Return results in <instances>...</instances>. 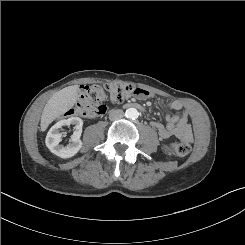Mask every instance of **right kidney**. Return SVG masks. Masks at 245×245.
I'll return each mask as SVG.
<instances>
[{
  "mask_svg": "<svg viewBox=\"0 0 245 245\" xmlns=\"http://www.w3.org/2000/svg\"><path fill=\"white\" fill-rule=\"evenodd\" d=\"M74 125V133L71 137L70 143L67 145H60L62 133L60 132L64 126ZM83 121L79 117H70L68 119H63L58 121L55 125L51 127L46 136V146L55 155L60 158H71L82 147V141L80 136L82 133Z\"/></svg>",
  "mask_w": 245,
  "mask_h": 245,
  "instance_id": "obj_1",
  "label": "right kidney"
}]
</instances>
